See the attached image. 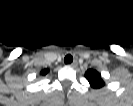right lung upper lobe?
Returning <instances> with one entry per match:
<instances>
[{"instance_id": "right-lung-upper-lobe-1", "label": "right lung upper lobe", "mask_w": 133, "mask_h": 106, "mask_svg": "<svg viewBox=\"0 0 133 106\" xmlns=\"http://www.w3.org/2000/svg\"><path fill=\"white\" fill-rule=\"evenodd\" d=\"M48 72H49L48 69H44V70L41 71V74H42V75H46Z\"/></svg>"}]
</instances>
